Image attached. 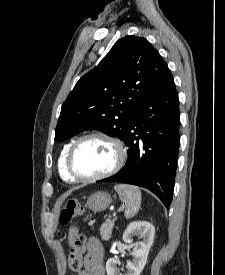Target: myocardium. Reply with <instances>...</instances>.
<instances>
[{"instance_id": "obj_1", "label": "myocardium", "mask_w": 225, "mask_h": 275, "mask_svg": "<svg viewBox=\"0 0 225 275\" xmlns=\"http://www.w3.org/2000/svg\"><path fill=\"white\" fill-rule=\"evenodd\" d=\"M90 139H102L105 140L107 142H109L115 150V163L112 166L111 169H109L108 171L101 173V174H97V175H90V176H83L78 174L73 167V157L74 154L77 150V148L80 146V144H82L84 141L86 140H90ZM126 160V151H125V147L123 145V143L116 137L105 134V133H89V134H85L79 138H77L70 146L68 152H67V156H66V169L68 171V173L70 174V176L76 180L79 181H98V180H102L105 178H108L114 174H116L124 165Z\"/></svg>"}]
</instances>
